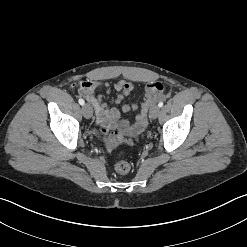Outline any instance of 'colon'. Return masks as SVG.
<instances>
[{
  "mask_svg": "<svg viewBox=\"0 0 247 247\" xmlns=\"http://www.w3.org/2000/svg\"><path fill=\"white\" fill-rule=\"evenodd\" d=\"M126 154L125 149H120L118 152L119 159L115 163V170L120 174H126L130 171V163L124 158Z\"/></svg>",
  "mask_w": 247,
  "mask_h": 247,
  "instance_id": "obj_1",
  "label": "colon"
}]
</instances>
